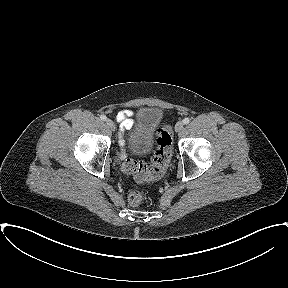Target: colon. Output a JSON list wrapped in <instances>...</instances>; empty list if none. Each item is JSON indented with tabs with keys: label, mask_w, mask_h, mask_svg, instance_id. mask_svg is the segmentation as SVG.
<instances>
[{
	"label": "colon",
	"mask_w": 288,
	"mask_h": 288,
	"mask_svg": "<svg viewBox=\"0 0 288 288\" xmlns=\"http://www.w3.org/2000/svg\"><path fill=\"white\" fill-rule=\"evenodd\" d=\"M157 150L150 163L126 159L123 162V171L132 175L139 183H148L159 179L166 169L171 153L172 138L167 127L158 130L156 138ZM144 202L143 195L138 191L128 194V203L131 206H139Z\"/></svg>",
	"instance_id": "obj_1"
}]
</instances>
